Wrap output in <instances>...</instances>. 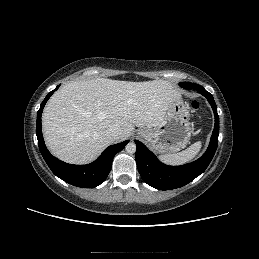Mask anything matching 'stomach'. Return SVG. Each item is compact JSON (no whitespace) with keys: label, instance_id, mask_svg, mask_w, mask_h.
<instances>
[{"label":"stomach","instance_id":"1","mask_svg":"<svg viewBox=\"0 0 259 259\" xmlns=\"http://www.w3.org/2000/svg\"><path fill=\"white\" fill-rule=\"evenodd\" d=\"M191 133L189 112L181 97L171 102L158 126L138 130V135L159 154L180 151L188 144Z\"/></svg>","mask_w":259,"mask_h":259}]
</instances>
